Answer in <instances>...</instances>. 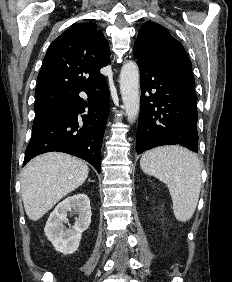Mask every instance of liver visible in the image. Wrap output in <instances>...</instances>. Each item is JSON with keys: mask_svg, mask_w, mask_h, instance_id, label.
Segmentation results:
<instances>
[{"mask_svg": "<svg viewBox=\"0 0 232 282\" xmlns=\"http://www.w3.org/2000/svg\"><path fill=\"white\" fill-rule=\"evenodd\" d=\"M85 162L71 155L49 152L32 159L23 169L21 193L29 219L37 221L88 177Z\"/></svg>", "mask_w": 232, "mask_h": 282, "instance_id": "liver-1", "label": "liver"}]
</instances>
